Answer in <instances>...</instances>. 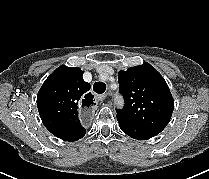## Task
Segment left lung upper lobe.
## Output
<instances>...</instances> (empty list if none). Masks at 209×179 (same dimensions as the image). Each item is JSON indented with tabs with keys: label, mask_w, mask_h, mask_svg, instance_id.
<instances>
[{
	"label": "left lung upper lobe",
	"mask_w": 209,
	"mask_h": 179,
	"mask_svg": "<svg viewBox=\"0 0 209 179\" xmlns=\"http://www.w3.org/2000/svg\"><path fill=\"white\" fill-rule=\"evenodd\" d=\"M119 90L125 100L117 116L160 133L169 123L174 101L160 73L149 63L118 73Z\"/></svg>",
	"instance_id": "5c2ea615"
}]
</instances>
